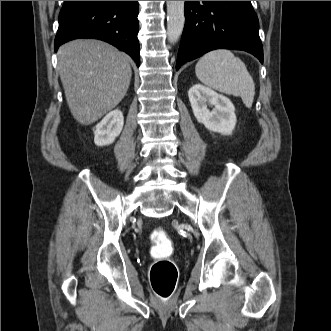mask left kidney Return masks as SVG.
<instances>
[{"label":"left kidney","instance_id":"left-kidney-1","mask_svg":"<svg viewBox=\"0 0 331 331\" xmlns=\"http://www.w3.org/2000/svg\"><path fill=\"white\" fill-rule=\"evenodd\" d=\"M191 107L199 123L208 130L229 135L235 128L237 119L235 107L225 96L201 84L193 85L188 91ZM213 107L212 110L209 108Z\"/></svg>","mask_w":331,"mask_h":331}]
</instances>
